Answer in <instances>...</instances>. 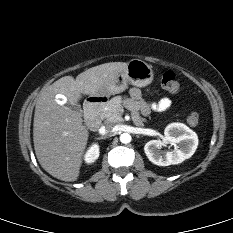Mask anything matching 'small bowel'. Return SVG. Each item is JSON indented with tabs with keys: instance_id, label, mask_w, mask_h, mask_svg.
<instances>
[{
	"instance_id": "1",
	"label": "small bowel",
	"mask_w": 233,
	"mask_h": 233,
	"mask_svg": "<svg viewBox=\"0 0 233 233\" xmlns=\"http://www.w3.org/2000/svg\"><path fill=\"white\" fill-rule=\"evenodd\" d=\"M129 96L130 98L127 99V105L135 113H141L143 115H148L151 110L159 112L165 111L171 105V100L167 97H163L154 103H148L143 99L141 90L135 87L129 90Z\"/></svg>"
}]
</instances>
